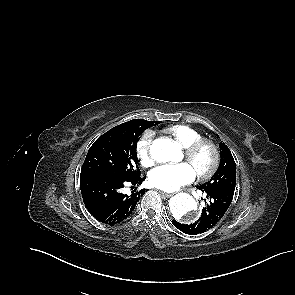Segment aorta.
Wrapping results in <instances>:
<instances>
[{"label":"aorta","mask_w":295,"mask_h":295,"mask_svg":"<svg viewBox=\"0 0 295 295\" xmlns=\"http://www.w3.org/2000/svg\"><path fill=\"white\" fill-rule=\"evenodd\" d=\"M152 158L158 162H177L181 157L180 145L168 138H159L150 148ZM172 216L179 221H193L197 210V203L187 193H178L169 201Z\"/></svg>","instance_id":"aorta-1"}]
</instances>
